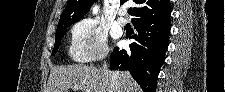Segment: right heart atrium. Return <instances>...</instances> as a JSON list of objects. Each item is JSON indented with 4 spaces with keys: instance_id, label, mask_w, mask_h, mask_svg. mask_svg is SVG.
<instances>
[{
    "instance_id": "d8ad5b80",
    "label": "right heart atrium",
    "mask_w": 225,
    "mask_h": 92,
    "mask_svg": "<svg viewBox=\"0 0 225 92\" xmlns=\"http://www.w3.org/2000/svg\"><path fill=\"white\" fill-rule=\"evenodd\" d=\"M71 54L75 61L91 63L108 53L107 31L96 20L83 19L71 30Z\"/></svg>"
}]
</instances>
